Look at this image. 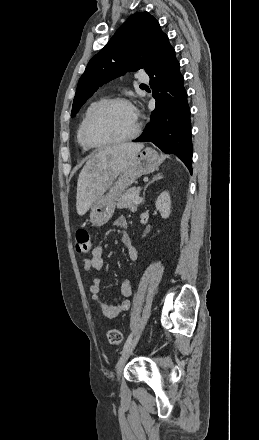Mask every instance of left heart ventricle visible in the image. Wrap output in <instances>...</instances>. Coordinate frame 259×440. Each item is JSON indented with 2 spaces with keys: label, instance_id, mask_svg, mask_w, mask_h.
Here are the masks:
<instances>
[{
  "label": "left heart ventricle",
  "instance_id": "b2bd125f",
  "mask_svg": "<svg viewBox=\"0 0 259 440\" xmlns=\"http://www.w3.org/2000/svg\"><path fill=\"white\" fill-rule=\"evenodd\" d=\"M135 124L134 110L125 104H115L94 118L89 127V136L95 142L117 140L129 135Z\"/></svg>",
  "mask_w": 259,
  "mask_h": 440
}]
</instances>
